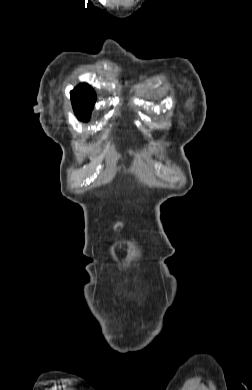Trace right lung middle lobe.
Returning <instances> with one entry per match:
<instances>
[{
    "mask_svg": "<svg viewBox=\"0 0 252 390\" xmlns=\"http://www.w3.org/2000/svg\"><path fill=\"white\" fill-rule=\"evenodd\" d=\"M90 112H86V113H75L78 117V119L82 120V121H88L89 120V117H90Z\"/></svg>",
    "mask_w": 252,
    "mask_h": 390,
    "instance_id": "dd1d6c3e",
    "label": "right lung middle lobe"
}]
</instances>
